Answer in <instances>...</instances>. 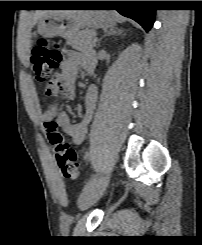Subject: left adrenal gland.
<instances>
[{
	"instance_id": "obj_1",
	"label": "left adrenal gland",
	"mask_w": 202,
	"mask_h": 245,
	"mask_svg": "<svg viewBox=\"0 0 202 245\" xmlns=\"http://www.w3.org/2000/svg\"><path fill=\"white\" fill-rule=\"evenodd\" d=\"M122 34V30L118 29V28H111L110 30H108L105 34V36H117ZM101 40V39H100ZM100 45V41L98 42V46Z\"/></svg>"
}]
</instances>
